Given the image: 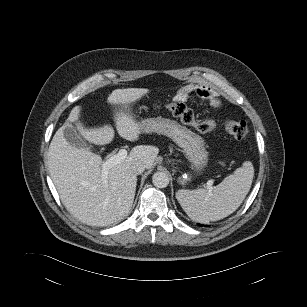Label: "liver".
I'll list each match as a JSON object with an SVG mask.
<instances>
[{
    "label": "liver",
    "mask_w": 307,
    "mask_h": 307,
    "mask_svg": "<svg viewBox=\"0 0 307 307\" xmlns=\"http://www.w3.org/2000/svg\"><path fill=\"white\" fill-rule=\"evenodd\" d=\"M149 92L145 88H127L116 89L109 95L107 102L113 107L120 137L138 140L141 128L131 114L132 105ZM81 109L75 106L53 136L48 150L49 173L63 205L75 218L90 226H108L124 219L132 208L137 174L131 166L142 162L147 169L151 168L159 149L150 145L135 146L104 178L101 156L90 149L72 146L64 137V129L71 122L85 140L95 145H106L114 139L115 132L109 124L86 128L79 120Z\"/></svg>",
    "instance_id": "liver-1"
}]
</instances>
